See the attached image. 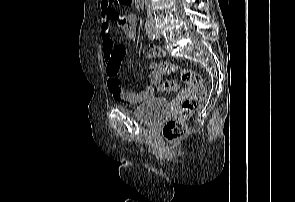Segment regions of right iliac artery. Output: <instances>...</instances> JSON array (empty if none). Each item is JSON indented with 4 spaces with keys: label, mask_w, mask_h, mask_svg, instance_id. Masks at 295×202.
I'll return each instance as SVG.
<instances>
[{
    "label": "right iliac artery",
    "mask_w": 295,
    "mask_h": 202,
    "mask_svg": "<svg viewBox=\"0 0 295 202\" xmlns=\"http://www.w3.org/2000/svg\"><path fill=\"white\" fill-rule=\"evenodd\" d=\"M145 27H146V34H147L148 38L152 41L155 40V34H154V31H153L150 23L147 22Z\"/></svg>",
    "instance_id": "right-iliac-artery-1"
}]
</instances>
